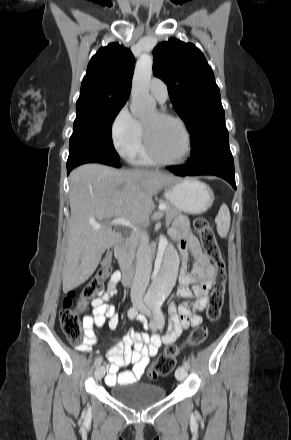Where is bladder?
<instances>
[{
    "label": "bladder",
    "instance_id": "obj_1",
    "mask_svg": "<svg viewBox=\"0 0 291 440\" xmlns=\"http://www.w3.org/2000/svg\"><path fill=\"white\" fill-rule=\"evenodd\" d=\"M111 396L121 404L144 407L162 401L166 397V390L153 383L131 381L113 386Z\"/></svg>",
    "mask_w": 291,
    "mask_h": 440
}]
</instances>
